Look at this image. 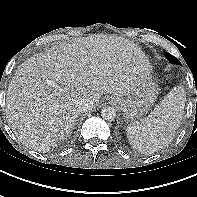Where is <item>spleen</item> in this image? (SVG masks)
<instances>
[{"mask_svg": "<svg viewBox=\"0 0 197 197\" xmlns=\"http://www.w3.org/2000/svg\"><path fill=\"white\" fill-rule=\"evenodd\" d=\"M185 102V89L183 86H175L150 115L128 126L130 144L143 153H153L168 145L180 126Z\"/></svg>", "mask_w": 197, "mask_h": 197, "instance_id": "spleen-1", "label": "spleen"}]
</instances>
